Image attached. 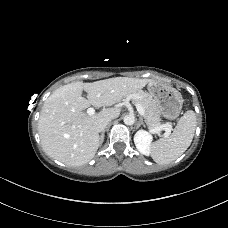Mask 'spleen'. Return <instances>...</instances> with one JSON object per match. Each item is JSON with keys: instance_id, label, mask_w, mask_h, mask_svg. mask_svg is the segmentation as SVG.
Instances as JSON below:
<instances>
[{"instance_id": "spleen-1", "label": "spleen", "mask_w": 228, "mask_h": 228, "mask_svg": "<svg viewBox=\"0 0 228 228\" xmlns=\"http://www.w3.org/2000/svg\"><path fill=\"white\" fill-rule=\"evenodd\" d=\"M196 128V115L188 110L180 118L170 136L155 141L151 147L153 160L161 165L169 164L179 158L190 146Z\"/></svg>"}]
</instances>
